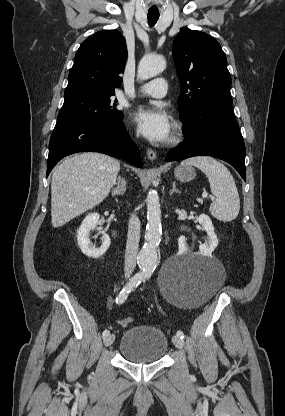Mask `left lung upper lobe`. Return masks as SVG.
I'll use <instances>...</instances> for the list:
<instances>
[{
	"mask_svg": "<svg viewBox=\"0 0 285 416\" xmlns=\"http://www.w3.org/2000/svg\"><path fill=\"white\" fill-rule=\"evenodd\" d=\"M173 59L181 81L178 104L184 135L213 122L235 120L227 59L214 38L181 30L173 42Z\"/></svg>",
	"mask_w": 285,
	"mask_h": 416,
	"instance_id": "obj_1",
	"label": "left lung upper lobe"
}]
</instances>
